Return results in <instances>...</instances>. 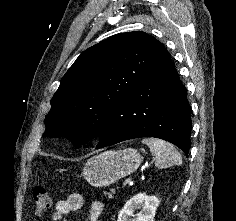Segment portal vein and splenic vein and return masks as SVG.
I'll return each mask as SVG.
<instances>
[{
    "mask_svg": "<svg viewBox=\"0 0 236 221\" xmlns=\"http://www.w3.org/2000/svg\"><path fill=\"white\" fill-rule=\"evenodd\" d=\"M129 182H130V180L129 181H124L123 184H122V187H126Z\"/></svg>",
    "mask_w": 236,
    "mask_h": 221,
    "instance_id": "1",
    "label": "portal vein and splenic vein"
}]
</instances>
